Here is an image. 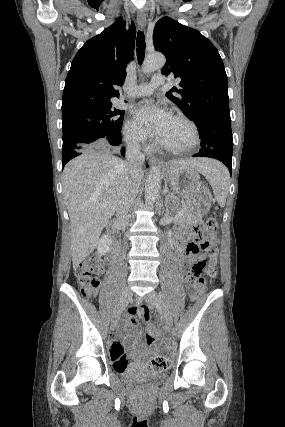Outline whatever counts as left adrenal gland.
<instances>
[{"label":"left adrenal gland","mask_w":285,"mask_h":427,"mask_svg":"<svg viewBox=\"0 0 285 427\" xmlns=\"http://www.w3.org/2000/svg\"><path fill=\"white\" fill-rule=\"evenodd\" d=\"M167 193H169V191H168V189L165 187V189H164V191H163V194H167ZM172 198V196L170 195V194H168L166 197H165V202H164V209L165 210H168V207H169V201H170V199Z\"/></svg>","instance_id":"1"}]
</instances>
